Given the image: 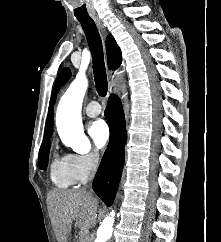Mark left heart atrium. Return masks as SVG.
Here are the masks:
<instances>
[{
  "label": "left heart atrium",
  "mask_w": 221,
  "mask_h": 242,
  "mask_svg": "<svg viewBox=\"0 0 221 242\" xmlns=\"http://www.w3.org/2000/svg\"><path fill=\"white\" fill-rule=\"evenodd\" d=\"M89 134L94 144L102 148L109 141L110 130L107 123L103 120H97L93 122L89 128Z\"/></svg>",
  "instance_id": "obj_1"
}]
</instances>
